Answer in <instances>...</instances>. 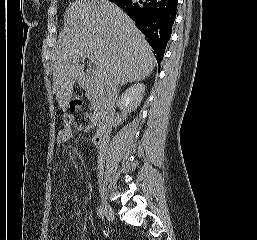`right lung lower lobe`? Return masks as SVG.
<instances>
[{"label":"right lung lower lobe","mask_w":257,"mask_h":240,"mask_svg":"<svg viewBox=\"0 0 257 240\" xmlns=\"http://www.w3.org/2000/svg\"><path fill=\"white\" fill-rule=\"evenodd\" d=\"M125 11L148 38L160 65L176 18L178 0H110Z\"/></svg>","instance_id":"1"}]
</instances>
